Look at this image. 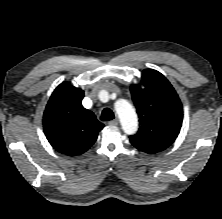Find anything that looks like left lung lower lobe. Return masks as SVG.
<instances>
[{
  "label": "left lung lower lobe",
  "instance_id": "1",
  "mask_svg": "<svg viewBox=\"0 0 222 219\" xmlns=\"http://www.w3.org/2000/svg\"><path fill=\"white\" fill-rule=\"evenodd\" d=\"M140 150V149H139ZM141 151H144V152H147V153H151V154H153V152H148V151H145V150H141Z\"/></svg>",
  "mask_w": 222,
  "mask_h": 219
}]
</instances>
